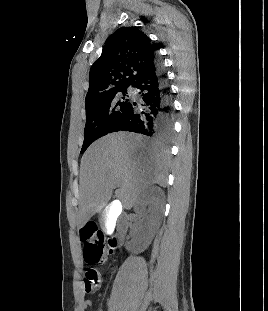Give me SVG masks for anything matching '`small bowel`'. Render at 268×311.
<instances>
[{
    "label": "small bowel",
    "instance_id": "1",
    "mask_svg": "<svg viewBox=\"0 0 268 311\" xmlns=\"http://www.w3.org/2000/svg\"><path fill=\"white\" fill-rule=\"evenodd\" d=\"M91 306H92V303L90 301H88V300H84L82 302V307H83L84 310L90 308Z\"/></svg>",
    "mask_w": 268,
    "mask_h": 311
}]
</instances>
